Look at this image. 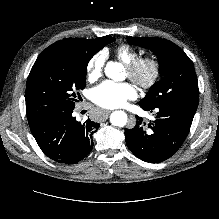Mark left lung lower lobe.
<instances>
[{
    "label": "left lung lower lobe",
    "mask_w": 219,
    "mask_h": 219,
    "mask_svg": "<svg viewBox=\"0 0 219 219\" xmlns=\"http://www.w3.org/2000/svg\"><path fill=\"white\" fill-rule=\"evenodd\" d=\"M198 97H188L169 104L140 107L157 112L150 124L138 122L133 129H125L126 144L143 161L157 163L173 156L185 141L198 106Z\"/></svg>",
    "instance_id": "1"
}]
</instances>
